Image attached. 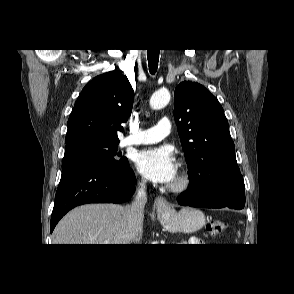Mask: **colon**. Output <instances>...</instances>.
Instances as JSON below:
<instances>
[{"instance_id":"1","label":"colon","mask_w":294,"mask_h":294,"mask_svg":"<svg viewBox=\"0 0 294 294\" xmlns=\"http://www.w3.org/2000/svg\"><path fill=\"white\" fill-rule=\"evenodd\" d=\"M226 228V224L220 220H212L207 223L206 229L211 237L218 236Z\"/></svg>"}]
</instances>
